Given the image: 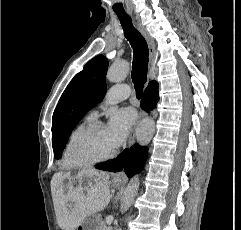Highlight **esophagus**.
Here are the masks:
<instances>
[{
  "label": "esophagus",
  "mask_w": 241,
  "mask_h": 230,
  "mask_svg": "<svg viewBox=\"0 0 241 230\" xmlns=\"http://www.w3.org/2000/svg\"><path fill=\"white\" fill-rule=\"evenodd\" d=\"M137 27L139 29V31L141 32V34L143 35V37L145 38L147 44H148V49H149V61L150 63L153 62L154 58H155V45H154V42L151 40V38L146 34V32L143 30V28L141 27V25L137 24ZM145 113L143 110H140L139 111V114H138V119H137V122H136V125L135 127L133 128L132 130V133L130 134V137H129V146H131L134 141H135V132H136V128L137 126L139 125L140 121L142 120V118L144 117ZM123 173L120 172L117 174V176H122Z\"/></svg>",
  "instance_id": "34e87169"
}]
</instances>
